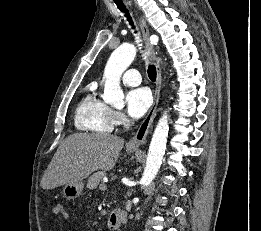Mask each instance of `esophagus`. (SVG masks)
<instances>
[{
	"label": "esophagus",
	"mask_w": 261,
	"mask_h": 231,
	"mask_svg": "<svg viewBox=\"0 0 261 231\" xmlns=\"http://www.w3.org/2000/svg\"><path fill=\"white\" fill-rule=\"evenodd\" d=\"M128 5L131 6V2H128ZM139 25L142 31L143 39L146 45V48L148 50L149 56L151 57L154 65L156 66L157 70V79H156V88L154 93V101L149 109L145 119L139 126L136 134L134 137L127 143L128 148H138L141 144H143L146 140V137L149 133L150 127L152 125L153 119L156 115L157 106L159 102V96H160V90H161V84H162V70L161 66L159 64V61L156 57L154 44L153 42H158V36L154 35L153 40L149 38V29L147 26V23L143 17L139 18ZM153 41V42H152Z\"/></svg>",
	"instance_id": "34e87169"
}]
</instances>
